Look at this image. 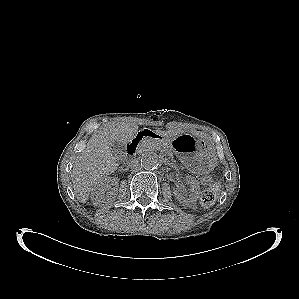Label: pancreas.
I'll return each instance as SVG.
<instances>
[{
	"label": "pancreas",
	"mask_w": 299,
	"mask_h": 299,
	"mask_svg": "<svg viewBox=\"0 0 299 299\" xmlns=\"http://www.w3.org/2000/svg\"><path fill=\"white\" fill-rule=\"evenodd\" d=\"M170 146L166 142H160L156 140H146L143 142V149L145 151H154V150H169Z\"/></svg>",
	"instance_id": "pancreas-1"
}]
</instances>
